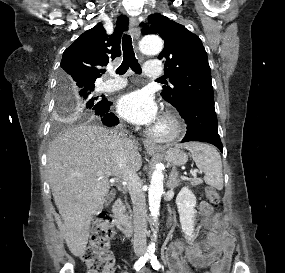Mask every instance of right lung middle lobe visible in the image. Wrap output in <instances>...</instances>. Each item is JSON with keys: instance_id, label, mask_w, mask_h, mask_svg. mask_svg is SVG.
Returning <instances> with one entry per match:
<instances>
[{"instance_id": "dd1d6c3e", "label": "right lung middle lobe", "mask_w": 285, "mask_h": 273, "mask_svg": "<svg viewBox=\"0 0 285 273\" xmlns=\"http://www.w3.org/2000/svg\"><path fill=\"white\" fill-rule=\"evenodd\" d=\"M94 85H72L64 76H60L57 91V108L60 117L67 121L88 118L104 99L94 93Z\"/></svg>"}]
</instances>
